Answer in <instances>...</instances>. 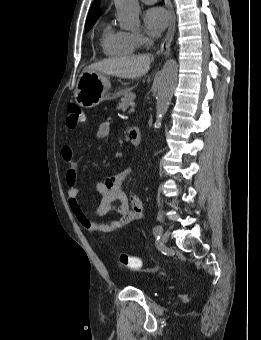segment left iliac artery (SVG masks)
<instances>
[{
	"label": "left iliac artery",
	"mask_w": 261,
	"mask_h": 340,
	"mask_svg": "<svg viewBox=\"0 0 261 340\" xmlns=\"http://www.w3.org/2000/svg\"><path fill=\"white\" fill-rule=\"evenodd\" d=\"M162 231H163L162 227L158 225L154 228L153 233L155 236L159 237L162 234Z\"/></svg>",
	"instance_id": "1"
}]
</instances>
